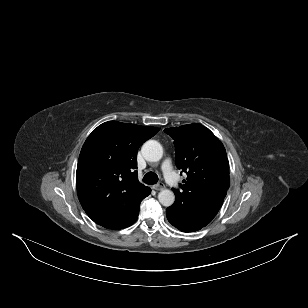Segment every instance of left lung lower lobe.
Instances as JSON below:
<instances>
[{
    "label": "left lung lower lobe",
    "instance_id": "left-lung-lower-lobe-1",
    "mask_svg": "<svg viewBox=\"0 0 308 308\" xmlns=\"http://www.w3.org/2000/svg\"><path fill=\"white\" fill-rule=\"evenodd\" d=\"M225 196L226 191L188 205L175 202L166 210L167 219L182 232L200 230L216 216Z\"/></svg>",
    "mask_w": 308,
    "mask_h": 308
}]
</instances>
